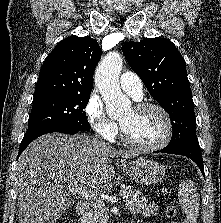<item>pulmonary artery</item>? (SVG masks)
I'll return each mask as SVG.
<instances>
[{
	"label": "pulmonary artery",
	"instance_id": "1",
	"mask_svg": "<svg viewBox=\"0 0 221 223\" xmlns=\"http://www.w3.org/2000/svg\"><path fill=\"white\" fill-rule=\"evenodd\" d=\"M120 86L135 99L138 100L142 97L143 84L136 74L129 71L124 72L120 77Z\"/></svg>",
	"mask_w": 221,
	"mask_h": 223
}]
</instances>
